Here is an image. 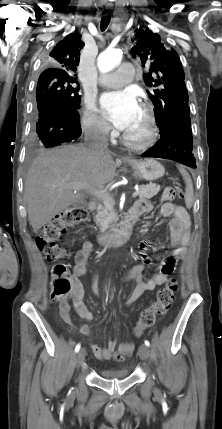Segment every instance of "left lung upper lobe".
<instances>
[{
    "label": "left lung upper lobe",
    "instance_id": "left-lung-upper-lobe-1",
    "mask_svg": "<svg viewBox=\"0 0 222 429\" xmlns=\"http://www.w3.org/2000/svg\"><path fill=\"white\" fill-rule=\"evenodd\" d=\"M131 54L149 68L144 74L147 90L155 106L158 127L177 116L190 115L188 92L181 61L175 50L161 43L158 34L149 29L139 28L132 39Z\"/></svg>",
    "mask_w": 222,
    "mask_h": 429
}]
</instances>
